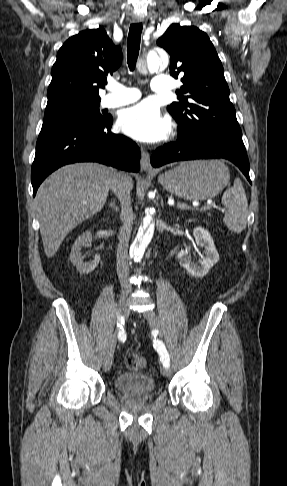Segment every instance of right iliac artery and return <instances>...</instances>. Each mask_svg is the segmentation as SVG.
Here are the masks:
<instances>
[{"label": "right iliac artery", "mask_w": 287, "mask_h": 486, "mask_svg": "<svg viewBox=\"0 0 287 486\" xmlns=\"http://www.w3.org/2000/svg\"><path fill=\"white\" fill-rule=\"evenodd\" d=\"M123 325H124V319L121 318V320L117 324V326L120 328V331L118 333V338L124 341L126 339V334Z\"/></svg>", "instance_id": "82829eb1"}]
</instances>
